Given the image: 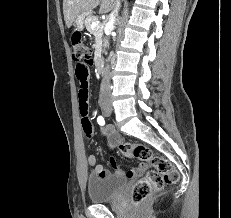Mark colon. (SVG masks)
<instances>
[{"instance_id": "obj_1", "label": "colon", "mask_w": 231, "mask_h": 218, "mask_svg": "<svg viewBox=\"0 0 231 218\" xmlns=\"http://www.w3.org/2000/svg\"><path fill=\"white\" fill-rule=\"evenodd\" d=\"M71 45L75 61L83 63L84 60H91V50L79 32L72 34ZM119 151L128 158H136L150 164L154 169L135 183L131 192V201L134 205L141 204L151 194L160 191L165 185L175 184L179 179L178 171L169 160L154 154L143 144L123 143L119 145Z\"/></svg>"}]
</instances>
